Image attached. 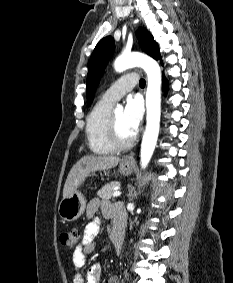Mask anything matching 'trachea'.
<instances>
[{"instance_id":"1","label":"trachea","mask_w":233,"mask_h":283,"mask_svg":"<svg viewBox=\"0 0 233 283\" xmlns=\"http://www.w3.org/2000/svg\"><path fill=\"white\" fill-rule=\"evenodd\" d=\"M139 85L140 87H145V80L144 79H141L140 82H139Z\"/></svg>"}]
</instances>
